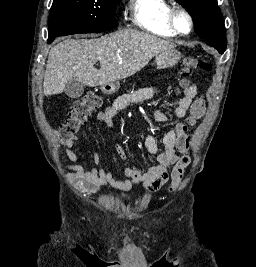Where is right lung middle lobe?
Instances as JSON below:
<instances>
[{
    "mask_svg": "<svg viewBox=\"0 0 256 267\" xmlns=\"http://www.w3.org/2000/svg\"><path fill=\"white\" fill-rule=\"evenodd\" d=\"M121 0H53L48 43L57 36L94 33L115 28L113 13Z\"/></svg>",
    "mask_w": 256,
    "mask_h": 267,
    "instance_id": "1",
    "label": "right lung middle lobe"
}]
</instances>
